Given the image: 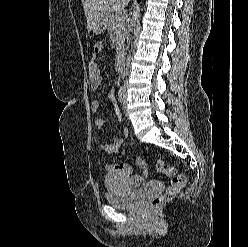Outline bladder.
Wrapping results in <instances>:
<instances>
[{
	"label": "bladder",
	"mask_w": 248,
	"mask_h": 247,
	"mask_svg": "<svg viewBox=\"0 0 248 247\" xmlns=\"http://www.w3.org/2000/svg\"><path fill=\"white\" fill-rule=\"evenodd\" d=\"M105 185L107 188V201L117 208L133 207L147 191L146 187H139L130 192L127 178L121 172H111L107 175Z\"/></svg>",
	"instance_id": "31cf9c89"
}]
</instances>
